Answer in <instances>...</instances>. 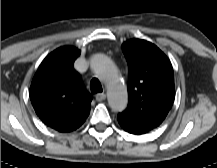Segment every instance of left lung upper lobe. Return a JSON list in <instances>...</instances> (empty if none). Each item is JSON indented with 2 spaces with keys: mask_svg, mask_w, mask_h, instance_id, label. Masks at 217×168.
Listing matches in <instances>:
<instances>
[{
  "mask_svg": "<svg viewBox=\"0 0 217 168\" xmlns=\"http://www.w3.org/2000/svg\"><path fill=\"white\" fill-rule=\"evenodd\" d=\"M128 63V107L118 119L149 132L164 121L175 98L173 68L154 44L140 39L123 43Z\"/></svg>",
  "mask_w": 217,
  "mask_h": 168,
  "instance_id": "5c2ea615",
  "label": "left lung upper lobe"
}]
</instances>
